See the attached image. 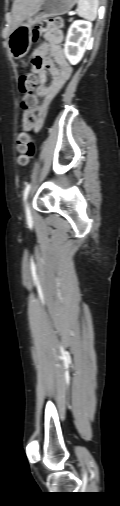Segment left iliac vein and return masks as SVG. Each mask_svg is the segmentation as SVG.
Returning <instances> with one entry per match:
<instances>
[{
  "mask_svg": "<svg viewBox=\"0 0 120 506\" xmlns=\"http://www.w3.org/2000/svg\"><path fill=\"white\" fill-rule=\"evenodd\" d=\"M30 214H31V212H30L29 204L27 203L26 204V215L30 216Z\"/></svg>",
  "mask_w": 120,
  "mask_h": 506,
  "instance_id": "left-iliac-vein-1",
  "label": "left iliac vein"
}]
</instances>
